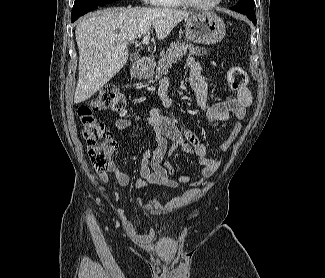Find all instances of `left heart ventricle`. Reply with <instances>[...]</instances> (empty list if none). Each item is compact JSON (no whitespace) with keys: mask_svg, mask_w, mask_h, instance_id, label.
<instances>
[{"mask_svg":"<svg viewBox=\"0 0 325 278\" xmlns=\"http://www.w3.org/2000/svg\"><path fill=\"white\" fill-rule=\"evenodd\" d=\"M193 1H195L196 3H200V4H207V3L212 2L213 0H193Z\"/></svg>","mask_w":325,"mask_h":278,"instance_id":"obj_1","label":"left heart ventricle"}]
</instances>
